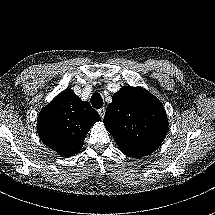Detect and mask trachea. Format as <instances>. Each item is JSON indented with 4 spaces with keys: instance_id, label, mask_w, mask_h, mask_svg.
<instances>
[{
    "instance_id": "1",
    "label": "trachea",
    "mask_w": 215,
    "mask_h": 215,
    "mask_svg": "<svg viewBox=\"0 0 215 215\" xmlns=\"http://www.w3.org/2000/svg\"><path fill=\"white\" fill-rule=\"evenodd\" d=\"M91 104L94 108L99 109L103 105V99L99 93H94L91 97Z\"/></svg>"
}]
</instances>
